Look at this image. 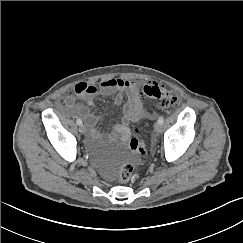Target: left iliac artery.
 Returning <instances> with one entry per match:
<instances>
[{"label":"left iliac artery","mask_w":243,"mask_h":243,"mask_svg":"<svg viewBox=\"0 0 243 243\" xmlns=\"http://www.w3.org/2000/svg\"><path fill=\"white\" fill-rule=\"evenodd\" d=\"M163 122H164V117L163 116L159 117L158 123L162 125Z\"/></svg>","instance_id":"obj_1"}]
</instances>
